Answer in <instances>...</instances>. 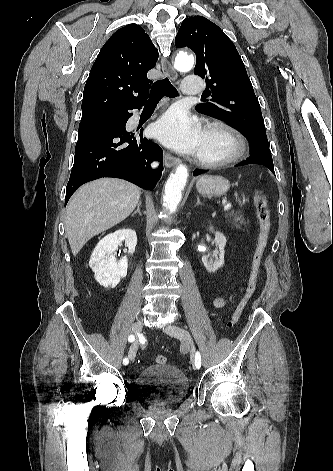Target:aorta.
I'll list each match as a JSON object with an SVG mask.
<instances>
[{
    "mask_svg": "<svg viewBox=\"0 0 333 471\" xmlns=\"http://www.w3.org/2000/svg\"><path fill=\"white\" fill-rule=\"evenodd\" d=\"M194 58L187 54H179L175 59V68L180 72H188L193 68ZM188 169L185 165L180 164L165 185V194L163 196L164 206L170 212H174L182 199V190L184 189L187 178Z\"/></svg>",
    "mask_w": 333,
    "mask_h": 471,
    "instance_id": "obj_1",
    "label": "aorta"
}]
</instances>
